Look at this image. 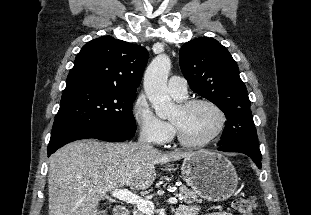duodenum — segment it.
I'll return each mask as SVG.
<instances>
[{"mask_svg": "<svg viewBox=\"0 0 311 215\" xmlns=\"http://www.w3.org/2000/svg\"><path fill=\"white\" fill-rule=\"evenodd\" d=\"M114 215H130L129 211L124 207H117Z\"/></svg>", "mask_w": 311, "mask_h": 215, "instance_id": "1", "label": "duodenum"}]
</instances>
